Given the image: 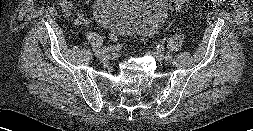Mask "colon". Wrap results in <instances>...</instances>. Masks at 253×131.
Wrapping results in <instances>:
<instances>
[{"instance_id":"5ec220e1","label":"colon","mask_w":253,"mask_h":131,"mask_svg":"<svg viewBox=\"0 0 253 131\" xmlns=\"http://www.w3.org/2000/svg\"><path fill=\"white\" fill-rule=\"evenodd\" d=\"M188 0H170V6L174 10H179ZM225 0H208V5L211 7H220L223 6ZM109 39L112 42H116L118 40L117 34L115 32H109Z\"/></svg>"}]
</instances>
